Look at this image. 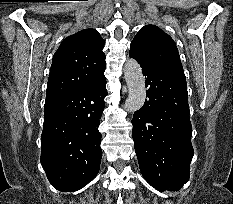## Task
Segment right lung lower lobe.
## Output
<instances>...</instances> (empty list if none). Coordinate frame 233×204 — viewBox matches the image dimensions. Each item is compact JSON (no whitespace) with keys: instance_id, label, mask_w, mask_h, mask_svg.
Wrapping results in <instances>:
<instances>
[{"instance_id":"right-lung-lower-lobe-1","label":"right lung lower lobe","mask_w":233,"mask_h":204,"mask_svg":"<svg viewBox=\"0 0 233 204\" xmlns=\"http://www.w3.org/2000/svg\"><path fill=\"white\" fill-rule=\"evenodd\" d=\"M104 70L87 85L45 101L41 165L58 190H79L99 172Z\"/></svg>"}]
</instances>
